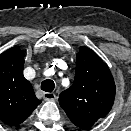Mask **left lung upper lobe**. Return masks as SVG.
Segmentation results:
<instances>
[{"instance_id": "1", "label": "left lung upper lobe", "mask_w": 131, "mask_h": 131, "mask_svg": "<svg viewBox=\"0 0 131 131\" xmlns=\"http://www.w3.org/2000/svg\"><path fill=\"white\" fill-rule=\"evenodd\" d=\"M115 92L107 65L93 50L81 46L76 56L74 83L59 97L71 122L82 129L91 127L109 113Z\"/></svg>"}]
</instances>
